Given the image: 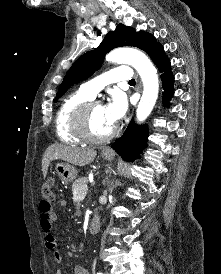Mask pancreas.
Segmentation results:
<instances>
[{"mask_svg":"<svg viewBox=\"0 0 221 274\" xmlns=\"http://www.w3.org/2000/svg\"><path fill=\"white\" fill-rule=\"evenodd\" d=\"M88 184V178L82 177L74 181L72 185V191L76 194H79L80 191L85 188Z\"/></svg>","mask_w":221,"mask_h":274,"instance_id":"cf45deb5","label":"pancreas"}]
</instances>
